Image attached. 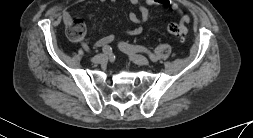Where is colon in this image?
Instances as JSON below:
<instances>
[{
    "label": "colon",
    "mask_w": 253,
    "mask_h": 138,
    "mask_svg": "<svg viewBox=\"0 0 253 138\" xmlns=\"http://www.w3.org/2000/svg\"><path fill=\"white\" fill-rule=\"evenodd\" d=\"M167 31L173 37L183 41L187 35V29L183 24L169 23ZM67 35L75 41H80L85 37L86 26L80 19H71L66 23Z\"/></svg>",
    "instance_id": "obj_1"
}]
</instances>
